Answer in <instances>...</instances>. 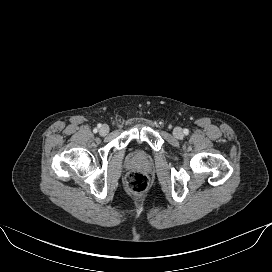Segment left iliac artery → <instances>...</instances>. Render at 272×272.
Returning a JSON list of instances; mask_svg holds the SVG:
<instances>
[{
    "instance_id": "44dca946",
    "label": "left iliac artery",
    "mask_w": 272,
    "mask_h": 272,
    "mask_svg": "<svg viewBox=\"0 0 272 272\" xmlns=\"http://www.w3.org/2000/svg\"><path fill=\"white\" fill-rule=\"evenodd\" d=\"M189 130L188 129H184V134H188Z\"/></svg>"
}]
</instances>
